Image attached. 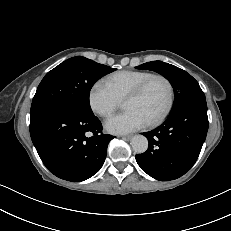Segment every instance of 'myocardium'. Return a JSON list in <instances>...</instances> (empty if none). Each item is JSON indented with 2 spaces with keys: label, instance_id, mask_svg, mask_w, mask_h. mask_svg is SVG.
Returning a JSON list of instances; mask_svg holds the SVG:
<instances>
[{
  "label": "myocardium",
  "instance_id": "f54148a6",
  "mask_svg": "<svg viewBox=\"0 0 231 231\" xmlns=\"http://www.w3.org/2000/svg\"><path fill=\"white\" fill-rule=\"evenodd\" d=\"M157 79L163 80L169 89V99L166 108L164 111L155 119L149 121L147 123L148 126H157L161 124L171 113L174 103H175V87L172 82V80L163 74H153L149 78H147L145 81H143L136 89H134L128 96L125 98L126 100H132L140 98L148 89V87L151 85V83Z\"/></svg>",
  "mask_w": 231,
  "mask_h": 231
}]
</instances>
